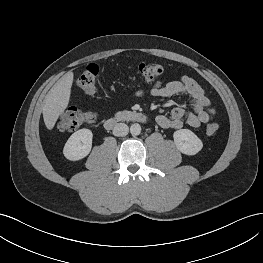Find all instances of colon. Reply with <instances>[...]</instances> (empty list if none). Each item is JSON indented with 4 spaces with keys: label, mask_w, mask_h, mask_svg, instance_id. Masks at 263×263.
<instances>
[{
    "label": "colon",
    "mask_w": 263,
    "mask_h": 263,
    "mask_svg": "<svg viewBox=\"0 0 263 263\" xmlns=\"http://www.w3.org/2000/svg\"><path fill=\"white\" fill-rule=\"evenodd\" d=\"M162 67L155 62H143L136 69V76L141 82H150L162 74ZM100 68L95 64L88 65L77 79L78 87L88 95L95 96ZM97 120V114L78 108H69L63 112L58 121V128L62 131H74L79 127L91 124ZM219 130L218 123L207 126V134L214 135Z\"/></svg>",
    "instance_id": "colon-1"
}]
</instances>
